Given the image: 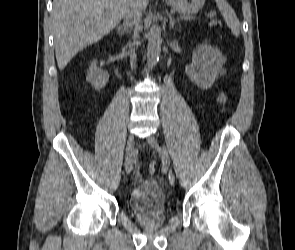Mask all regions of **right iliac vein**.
I'll use <instances>...</instances> for the list:
<instances>
[{"mask_svg":"<svg viewBox=\"0 0 295 250\" xmlns=\"http://www.w3.org/2000/svg\"><path fill=\"white\" fill-rule=\"evenodd\" d=\"M135 159L134 136L130 135L127 139L126 155H125V172L130 173L133 170Z\"/></svg>","mask_w":295,"mask_h":250,"instance_id":"63e3f726","label":"right iliac vein"}]
</instances>
